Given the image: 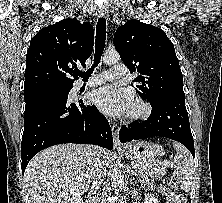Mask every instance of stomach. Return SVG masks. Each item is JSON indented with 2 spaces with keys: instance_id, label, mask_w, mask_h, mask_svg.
Returning a JSON list of instances; mask_svg holds the SVG:
<instances>
[{
  "instance_id": "stomach-1",
  "label": "stomach",
  "mask_w": 222,
  "mask_h": 203,
  "mask_svg": "<svg viewBox=\"0 0 222 203\" xmlns=\"http://www.w3.org/2000/svg\"><path fill=\"white\" fill-rule=\"evenodd\" d=\"M124 154L129 159H135L137 161L142 160H155L165 154L162 146L147 142L140 141L134 144L128 145L124 149Z\"/></svg>"
}]
</instances>
